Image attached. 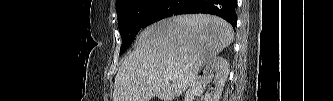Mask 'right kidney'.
Here are the masks:
<instances>
[{
  "instance_id": "1",
  "label": "right kidney",
  "mask_w": 333,
  "mask_h": 101,
  "mask_svg": "<svg viewBox=\"0 0 333 101\" xmlns=\"http://www.w3.org/2000/svg\"><path fill=\"white\" fill-rule=\"evenodd\" d=\"M229 73V63L223 57L213 58L204 68L203 77H195L190 89L186 91L185 101H194V97L202 92L204 86L213 80L214 87L207 92L204 101H219L225 81Z\"/></svg>"
}]
</instances>
